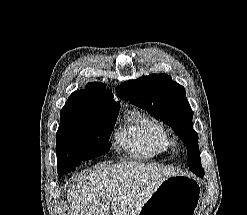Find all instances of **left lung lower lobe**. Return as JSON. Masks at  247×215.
Here are the masks:
<instances>
[{
  "instance_id": "1",
  "label": "left lung lower lobe",
  "mask_w": 247,
  "mask_h": 215,
  "mask_svg": "<svg viewBox=\"0 0 247 215\" xmlns=\"http://www.w3.org/2000/svg\"><path fill=\"white\" fill-rule=\"evenodd\" d=\"M193 173H195L196 175H198V176H200V177H203V176H204V171H203V169L198 170V171H195V172H193Z\"/></svg>"
}]
</instances>
